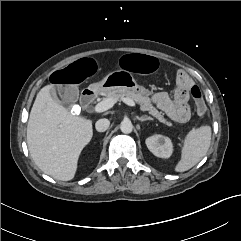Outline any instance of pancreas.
<instances>
[{
  "label": "pancreas",
  "instance_id": "cf45deb5",
  "mask_svg": "<svg viewBox=\"0 0 241 241\" xmlns=\"http://www.w3.org/2000/svg\"><path fill=\"white\" fill-rule=\"evenodd\" d=\"M128 98L140 105L142 111H147L150 115L155 117L159 122L172 127L171 121H168L162 112H159L152 104L151 99L148 95L137 93L127 88H119L110 92L105 93L104 99H113L115 102Z\"/></svg>",
  "mask_w": 241,
  "mask_h": 241
}]
</instances>
